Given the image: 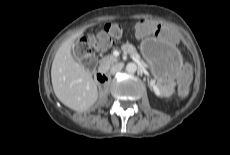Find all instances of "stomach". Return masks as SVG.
<instances>
[{
	"label": "stomach",
	"instance_id": "stomach-1",
	"mask_svg": "<svg viewBox=\"0 0 230 155\" xmlns=\"http://www.w3.org/2000/svg\"><path fill=\"white\" fill-rule=\"evenodd\" d=\"M140 50L161 89L174 82L183 62L176 46L158 37H148L141 42Z\"/></svg>",
	"mask_w": 230,
	"mask_h": 155
}]
</instances>
